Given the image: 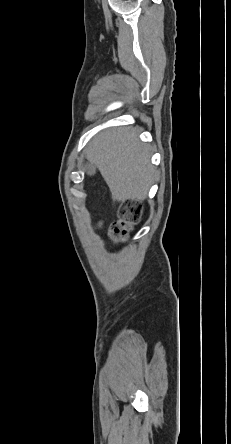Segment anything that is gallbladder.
<instances>
[{
	"label": "gallbladder",
	"mask_w": 231,
	"mask_h": 444,
	"mask_svg": "<svg viewBox=\"0 0 231 444\" xmlns=\"http://www.w3.org/2000/svg\"><path fill=\"white\" fill-rule=\"evenodd\" d=\"M85 170L89 175H92L95 173L96 168L95 165L90 162L85 165Z\"/></svg>",
	"instance_id": "bac80fb5"
}]
</instances>
